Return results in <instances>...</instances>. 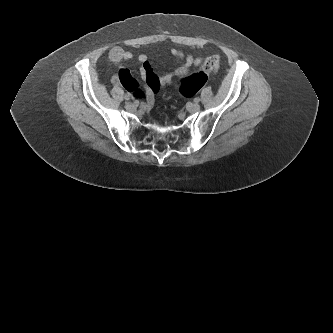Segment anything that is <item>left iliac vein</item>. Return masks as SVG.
Listing matches in <instances>:
<instances>
[{
    "label": "left iliac vein",
    "instance_id": "left-iliac-vein-1",
    "mask_svg": "<svg viewBox=\"0 0 333 333\" xmlns=\"http://www.w3.org/2000/svg\"><path fill=\"white\" fill-rule=\"evenodd\" d=\"M188 112L195 113L200 110V105L198 103H191L187 107Z\"/></svg>",
    "mask_w": 333,
    "mask_h": 333
}]
</instances>
